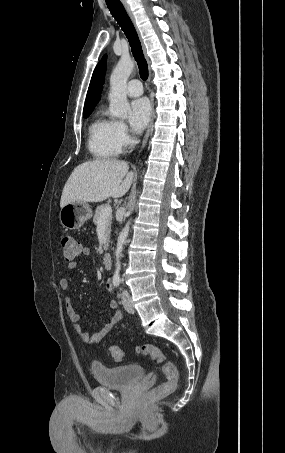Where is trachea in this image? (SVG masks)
Returning a JSON list of instances; mask_svg holds the SVG:
<instances>
[{
	"mask_svg": "<svg viewBox=\"0 0 285 453\" xmlns=\"http://www.w3.org/2000/svg\"><path fill=\"white\" fill-rule=\"evenodd\" d=\"M106 4L112 16L118 22L130 43L131 51L138 64L141 79L144 81L147 80L148 65L144 58L141 43L139 41L137 32L124 6L119 0H106Z\"/></svg>",
	"mask_w": 285,
	"mask_h": 453,
	"instance_id": "obj_1",
	"label": "trachea"
}]
</instances>
